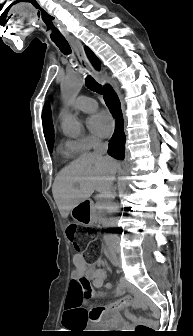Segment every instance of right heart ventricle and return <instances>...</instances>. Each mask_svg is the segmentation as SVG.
Returning <instances> with one entry per match:
<instances>
[{"instance_id":"1","label":"right heart ventricle","mask_w":193,"mask_h":336,"mask_svg":"<svg viewBox=\"0 0 193 336\" xmlns=\"http://www.w3.org/2000/svg\"><path fill=\"white\" fill-rule=\"evenodd\" d=\"M61 152L68 158L74 157L79 153L69 144V142L61 147Z\"/></svg>"}]
</instances>
